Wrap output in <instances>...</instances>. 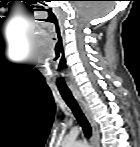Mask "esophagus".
I'll return each instance as SVG.
<instances>
[{
  "label": "esophagus",
  "mask_w": 140,
  "mask_h": 147,
  "mask_svg": "<svg viewBox=\"0 0 140 147\" xmlns=\"http://www.w3.org/2000/svg\"><path fill=\"white\" fill-rule=\"evenodd\" d=\"M75 99L77 100V102L79 103L82 112L84 113L85 117L87 118L91 128H92V141H93V147H100V132H99V128H98V124L90 110V108L88 107L87 103L85 102V100L82 98L81 95H74Z\"/></svg>",
  "instance_id": "34e87169"
}]
</instances>
